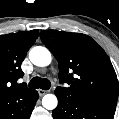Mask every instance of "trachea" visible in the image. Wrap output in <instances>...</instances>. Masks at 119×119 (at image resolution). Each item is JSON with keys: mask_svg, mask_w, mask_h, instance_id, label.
Wrapping results in <instances>:
<instances>
[{"mask_svg": "<svg viewBox=\"0 0 119 119\" xmlns=\"http://www.w3.org/2000/svg\"><path fill=\"white\" fill-rule=\"evenodd\" d=\"M28 86L30 88H35V89L41 88L43 90H49L51 87V83L48 79L40 78V77H34L31 79Z\"/></svg>", "mask_w": 119, "mask_h": 119, "instance_id": "1", "label": "trachea"}]
</instances>
